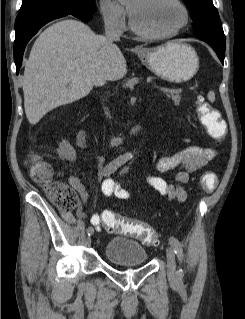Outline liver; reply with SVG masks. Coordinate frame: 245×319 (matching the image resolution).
<instances>
[{
  "label": "liver",
  "instance_id": "liver-1",
  "mask_svg": "<svg viewBox=\"0 0 245 319\" xmlns=\"http://www.w3.org/2000/svg\"><path fill=\"white\" fill-rule=\"evenodd\" d=\"M127 72L119 50L87 25L65 19L45 29L35 40L24 70V108L30 124L61 105L77 101L103 81Z\"/></svg>",
  "mask_w": 245,
  "mask_h": 319
}]
</instances>
